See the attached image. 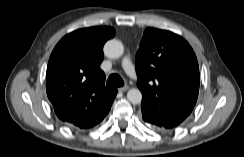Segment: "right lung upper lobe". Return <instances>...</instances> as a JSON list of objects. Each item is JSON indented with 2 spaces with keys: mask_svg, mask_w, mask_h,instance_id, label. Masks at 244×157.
Masks as SVG:
<instances>
[{
  "mask_svg": "<svg viewBox=\"0 0 244 157\" xmlns=\"http://www.w3.org/2000/svg\"><path fill=\"white\" fill-rule=\"evenodd\" d=\"M115 34L112 27L79 29L54 48L46 72L47 95L57 117L67 125L88 129L108 114L117 90L104 86L99 65L104 43Z\"/></svg>",
  "mask_w": 244,
  "mask_h": 157,
  "instance_id": "obj_1",
  "label": "right lung upper lobe"
}]
</instances>
